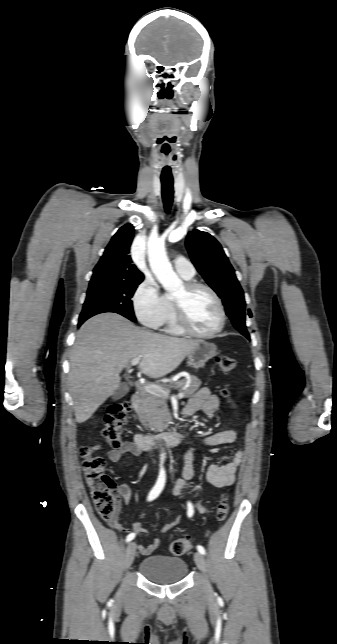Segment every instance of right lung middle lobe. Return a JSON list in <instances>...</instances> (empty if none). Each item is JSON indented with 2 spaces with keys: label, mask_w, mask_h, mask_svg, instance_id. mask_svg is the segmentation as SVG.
Here are the masks:
<instances>
[{
  "label": "right lung middle lobe",
  "mask_w": 337,
  "mask_h": 644,
  "mask_svg": "<svg viewBox=\"0 0 337 644\" xmlns=\"http://www.w3.org/2000/svg\"><path fill=\"white\" fill-rule=\"evenodd\" d=\"M141 282L90 283L79 321L96 314L114 312L135 322L131 298Z\"/></svg>",
  "instance_id": "dd1d6c3e"
}]
</instances>
